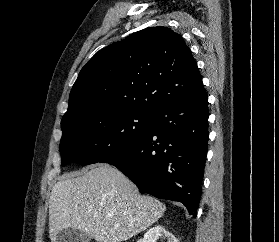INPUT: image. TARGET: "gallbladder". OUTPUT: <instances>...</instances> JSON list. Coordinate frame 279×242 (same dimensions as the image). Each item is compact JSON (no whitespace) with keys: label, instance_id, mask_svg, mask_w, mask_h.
I'll list each match as a JSON object with an SVG mask.
<instances>
[{"label":"gallbladder","instance_id":"gallbladder-1","mask_svg":"<svg viewBox=\"0 0 279 242\" xmlns=\"http://www.w3.org/2000/svg\"><path fill=\"white\" fill-rule=\"evenodd\" d=\"M91 237L77 229H63L56 235V242H89Z\"/></svg>","mask_w":279,"mask_h":242}]
</instances>
